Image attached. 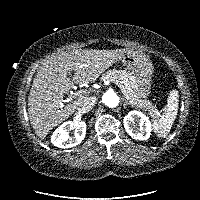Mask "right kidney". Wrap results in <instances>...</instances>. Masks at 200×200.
Masks as SVG:
<instances>
[{
  "label": "right kidney",
  "instance_id": "ca27d5eb",
  "mask_svg": "<svg viewBox=\"0 0 200 200\" xmlns=\"http://www.w3.org/2000/svg\"><path fill=\"white\" fill-rule=\"evenodd\" d=\"M75 129L74 135L69 132ZM86 135V123L84 121H67L60 125L52 134L51 142L59 148H71L82 142Z\"/></svg>",
  "mask_w": 200,
  "mask_h": 200
}]
</instances>
